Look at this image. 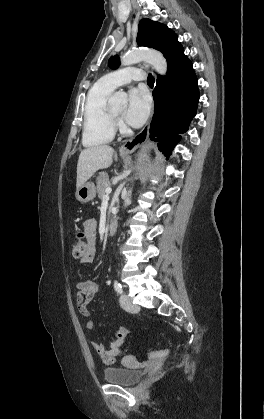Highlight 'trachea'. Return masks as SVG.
<instances>
[{"label": "trachea", "mask_w": 264, "mask_h": 419, "mask_svg": "<svg viewBox=\"0 0 264 419\" xmlns=\"http://www.w3.org/2000/svg\"><path fill=\"white\" fill-rule=\"evenodd\" d=\"M154 77L152 76V74H149L148 75V78H147V83L148 84H154Z\"/></svg>", "instance_id": "trachea-1"}]
</instances>
